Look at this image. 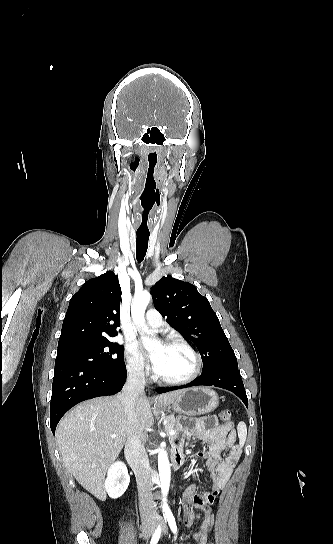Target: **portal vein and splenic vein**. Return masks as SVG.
I'll return each mask as SVG.
<instances>
[{
  "mask_svg": "<svg viewBox=\"0 0 333 544\" xmlns=\"http://www.w3.org/2000/svg\"><path fill=\"white\" fill-rule=\"evenodd\" d=\"M174 434H175V431H174V430H170V431H169V435H174ZM111 437L115 438L116 435L113 434V435H111Z\"/></svg>",
  "mask_w": 333,
  "mask_h": 544,
  "instance_id": "18ae733b",
  "label": "portal vein and splenic vein"
}]
</instances>
